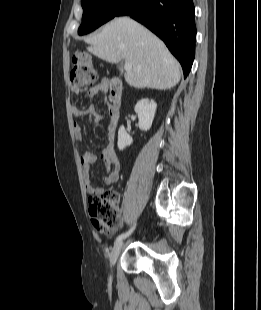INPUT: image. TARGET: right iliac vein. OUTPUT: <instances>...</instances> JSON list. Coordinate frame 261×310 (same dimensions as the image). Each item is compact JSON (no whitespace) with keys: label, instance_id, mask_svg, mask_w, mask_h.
<instances>
[{"label":"right iliac vein","instance_id":"right-iliac-vein-1","mask_svg":"<svg viewBox=\"0 0 261 310\" xmlns=\"http://www.w3.org/2000/svg\"><path fill=\"white\" fill-rule=\"evenodd\" d=\"M123 247V241H118L114 247L112 248L111 254H110V267L111 269L115 265L117 258L122 250Z\"/></svg>","mask_w":261,"mask_h":310}]
</instances>
